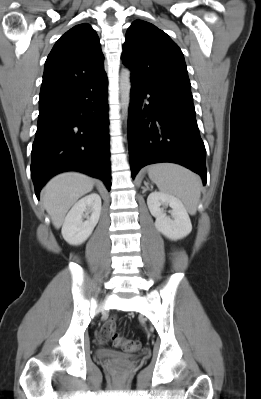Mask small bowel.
<instances>
[{
  "label": "small bowel",
  "instance_id": "obj_1",
  "mask_svg": "<svg viewBox=\"0 0 261 399\" xmlns=\"http://www.w3.org/2000/svg\"><path fill=\"white\" fill-rule=\"evenodd\" d=\"M115 318L107 320L99 329V338L103 341L107 340L114 328Z\"/></svg>",
  "mask_w": 261,
  "mask_h": 399
}]
</instances>
